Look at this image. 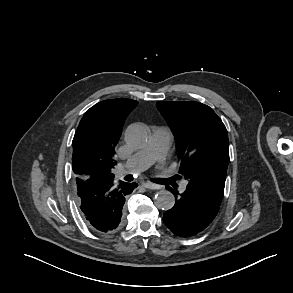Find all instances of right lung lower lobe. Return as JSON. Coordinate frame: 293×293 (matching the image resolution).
I'll use <instances>...</instances> for the list:
<instances>
[{"label": "right lung lower lobe", "instance_id": "1", "mask_svg": "<svg viewBox=\"0 0 293 293\" xmlns=\"http://www.w3.org/2000/svg\"><path fill=\"white\" fill-rule=\"evenodd\" d=\"M114 178L76 179L78 203L87 225L100 233H110L122 225V210L126 195L136 183L121 182L116 186Z\"/></svg>", "mask_w": 293, "mask_h": 293}]
</instances>
